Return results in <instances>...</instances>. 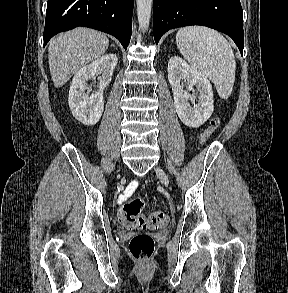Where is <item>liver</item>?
Returning a JSON list of instances; mask_svg holds the SVG:
<instances>
[{
	"label": "liver",
	"mask_w": 288,
	"mask_h": 293,
	"mask_svg": "<svg viewBox=\"0 0 288 293\" xmlns=\"http://www.w3.org/2000/svg\"><path fill=\"white\" fill-rule=\"evenodd\" d=\"M108 38L95 30L78 27L54 37L48 48L49 69L55 87H62L77 71L100 58Z\"/></svg>",
	"instance_id": "liver-1"
}]
</instances>
